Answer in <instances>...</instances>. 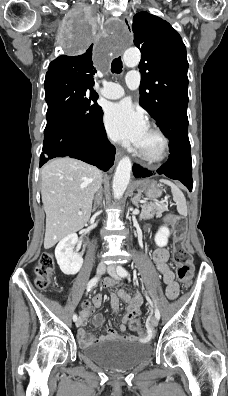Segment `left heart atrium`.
I'll use <instances>...</instances> for the list:
<instances>
[{"label": "left heart atrium", "mask_w": 228, "mask_h": 396, "mask_svg": "<svg viewBox=\"0 0 228 396\" xmlns=\"http://www.w3.org/2000/svg\"><path fill=\"white\" fill-rule=\"evenodd\" d=\"M104 123L114 140L137 147L147 130L143 113L126 100L106 108Z\"/></svg>", "instance_id": "left-heart-atrium-1"}]
</instances>
